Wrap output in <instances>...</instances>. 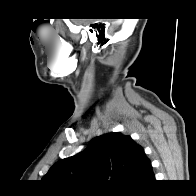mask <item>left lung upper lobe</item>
Wrapping results in <instances>:
<instances>
[{
	"mask_svg": "<svg viewBox=\"0 0 196 196\" xmlns=\"http://www.w3.org/2000/svg\"><path fill=\"white\" fill-rule=\"evenodd\" d=\"M150 162L129 135L112 132L95 137L88 147L59 160L42 180L54 186H135Z\"/></svg>",
	"mask_w": 196,
	"mask_h": 196,
	"instance_id": "1",
	"label": "left lung upper lobe"
}]
</instances>
